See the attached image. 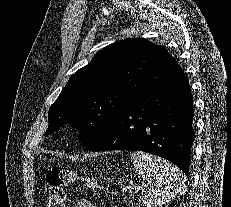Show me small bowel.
<instances>
[{"mask_svg": "<svg viewBox=\"0 0 231 207\" xmlns=\"http://www.w3.org/2000/svg\"><path fill=\"white\" fill-rule=\"evenodd\" d=\"M73 207H95V206L90 201L86 199H81L76 201Z\"/></svg>", "mask_w": 231, "mask_h": 207, "instance_id": "small-bowel-1", "label": "small bowel"}]
</instances>
